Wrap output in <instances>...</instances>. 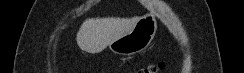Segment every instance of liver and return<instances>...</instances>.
<instances>
[{
	"mask_svg": "<svg viewBox=\"0 0 244 73\" xmlns=\"http://www.w3.org/2000/svg\"><path fill=\"white\" fill-rule=\"evenodd\" d=\"M139 19V17L87 19L77 33V45L87 53H100L112 41L131 31Z\"/></svg>",
	"mask_w": 244,
	"mask_h": 73,
	"instance_id": "obj_1",
	"label": "liver"
}]
</instances>
